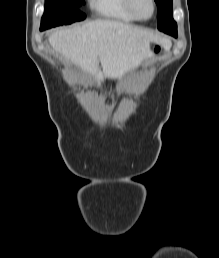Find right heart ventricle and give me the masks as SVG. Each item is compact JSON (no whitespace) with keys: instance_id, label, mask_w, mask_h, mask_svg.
<instances>
[{"instance_id":"e07e8e85","label":"right heart ventricle","mask_w":219,"mask_h":258,"mask_svg":"<svg viewBox=\"0 0 219 258\" xmlns=\"http://www.w3.org/2000/svg\"><path fill=\"white\" fill-rule=\"evenodd\" d=\"M90 5L101 17L119 22H134L137 19L126 7L125 0H90Z\"/></svg>"}]
</instances>
